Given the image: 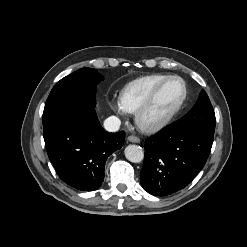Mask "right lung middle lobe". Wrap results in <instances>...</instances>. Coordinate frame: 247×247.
I'll list each match as a JSON object with an SVG mask.
<instances>
[{"instance_id": "dd1d6c3e", "label": "right lung middle lobe", "mask_w": 247, "mask_h": 247, "mask_svg": "<svg viewBox=\"0 0 247 247\" xmlns=\"http://www.w3.org/2000/svg\"><path fill=\"white\" fill-rule=\"evenodd\" d=\"M104 78L93 68H82L53 87L43 111V125L82 109L95 107L96 85Z\"/></svg>"}]
</instances>
